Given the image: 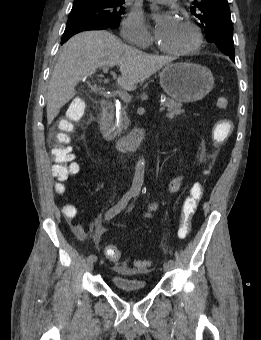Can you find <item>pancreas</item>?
<instances>
[{
  "mask_svg": "<svg viewBox=\"0 0 261 340\" xmlns=\"http://www.w3.org/2000/svg\"><path fill=\"white\" fill-rule=\"evenodd\" d=\"M163 106L164 107H167V114L166 116L168 118H174V117H177L181 114L184 113V110L182 109V104L181 103H178L172 99H165L164 103H163ZM121 120H122V124L120 125L121 129H127V126L129 124V119L126 115V112H124L122 114V117H121Z\"/></svg>",
  "mask_w": 261,
  "mask_h": 340,
  "instance_id": "obj_1",
  "label": "pancreas"
}]
</instances>
